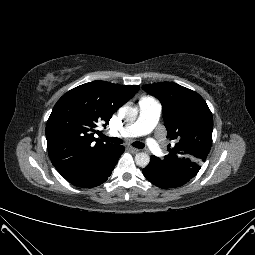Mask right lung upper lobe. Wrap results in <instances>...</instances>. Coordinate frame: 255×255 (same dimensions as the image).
I'll return each instance as SVG.
<instances>
[{
  "instance_id": "1",
  "label": "right lung upper lobe",
  "mask_w": 255,
  "mask_h": 255,
  "mask_svg": "<svg viewBox=\"0 0 255 255\" xmlns=\"http://www.w3.org/2000/svg\"><path fill=\"white\" fill-rule=\"evenodd\" d=\"M138 85L93 81L65 93L46 125L50 160L65 178L75 177L106 159L116 147L94 138L97 123H109L113 113L131 99Z\"/></svg>"
}]
</instances>
